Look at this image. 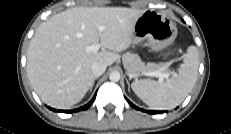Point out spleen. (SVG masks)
<instances>
[{
  "label": "spleen",
  "instance_id": "1",
  "mask_svg": "<svg viewBox=\"0 0 231 134\" xmlns=\"http://www.w3.org/2000/svg\"><path fill=\"white\" fill-rule=\"evenodd\" d=\"M198 50L191 45L184 55L178 74L164 82L143 79L132 82L134 93L154 110H168L176 107L194 87L198 77Z\"/></svg>",
  "mask_w": 231,
  "mask_h": 134
}]
</instances>
